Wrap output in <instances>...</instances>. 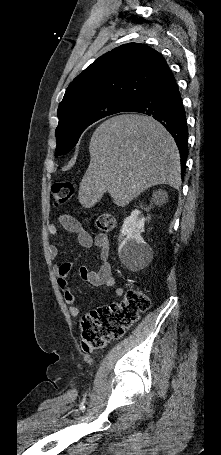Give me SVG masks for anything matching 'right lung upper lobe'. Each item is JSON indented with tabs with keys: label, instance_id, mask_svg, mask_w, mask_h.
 <instances>
[{
	"label": "right lung upper lobe",
	"instance_id": "1",
	"mask_svg": "<svg viewBox=\"0 0 221 455\" xmlns=\"http://www.w3.org/2000/svg\"><path fill=\"white\" fill-rule=\"evenodd\" d=\"M167 65L156 50L139 43L121 45L99 57L68 86L58 117L94 103L126 106L142 96Z\"/></svg>",
	"mask_w": 221,
	"mask_h": 455
}]
</instances>
